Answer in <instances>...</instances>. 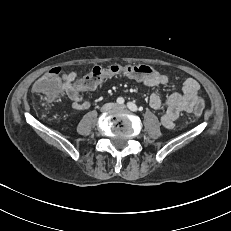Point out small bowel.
<instances>
[{"label": "small bowel", "instance_id": "small-bowel-1", "mask_svg": "<svg viewBox=\"0 0 231 231\" xmlns=\"http://www.w3.org/2000/svg\"><path fill=\"white\" fill-rule=\"evenodd\" d=\"M76 79L77 73L74 71L64 73L60 78L58 77L60 91L71 100L72 107L75 110H86L90 108L91 102L83 99L81 94L83 90L76 86ZM171 81V77L164 73L143 78L139 85L143 91L148 92L156 88L168 87ZM199 88V83L195 79L187 78L178 91L165 98L157 93L150 96V106L156 110H164L161 117L163 127L172 129L181 114L194 111L195 103L202 99L198 95Z\"/></svg>", "mask_w": 231, "mask_h": 231}]
</instances>
